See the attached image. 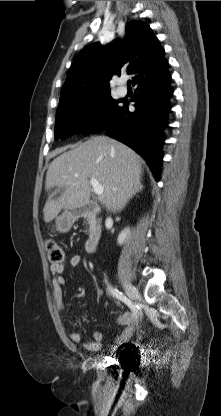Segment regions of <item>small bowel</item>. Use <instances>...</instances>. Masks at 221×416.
I'll return each instance as SVG.
<instances>
[{
	"label": "small bowel",
	"mask_w": 221,
	"mask_h": 416,
	"mask_svg": "<svg viewBox=\"0 0 221 416\" xmlns=\"http://www.w3.org/2000/svg\"><path fill=\"white\" fill-rule=\"evenodd\" d=\"M81 256L80 255H72L69 260L68 264L72 268H76L81 264ZM65 270L64 264H51L50 265V272L53 276L52 278V286H53V297L55 301L56 307L63 311L65 309V301H64V294H63V286L65 284V279L62 276ZM135 317L130 312H123L117 317V323L120 325H124L125 329L115 339L116 345H121L127 343L133 335L134 325L133 322ZM69 338L74 343L81 342V335L78 332H71L69 334ZM101 340L102 334L95 330L91 334V340L84 343V347L86 350L90 352H97L101 349Z\"/></svg>",
	"instance_id": "c3829d8e"
}]
</instances>
